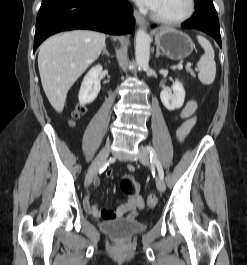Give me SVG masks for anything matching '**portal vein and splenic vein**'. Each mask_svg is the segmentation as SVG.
Instances as JSON below:
<instances>
[{
	"mask_svg": "<svg viewBox=\"0 0 247 265\" xmlns=\"http://www.w3.org/2000/svg\"><path fill=\"white\" fill-rule=\"evenodd\" d=\"M182 67H183V66H182L181 64L178 65V69H182ZM187 67H191V63H188V64H187Z\"/></svg>",
	"mask_w": 247,
	"mask_h": 265,
	"instance_id": "portal-vein-and-splenic-vein-1",
	"label": "portal vein and splenic vein"
}]
</instances>
